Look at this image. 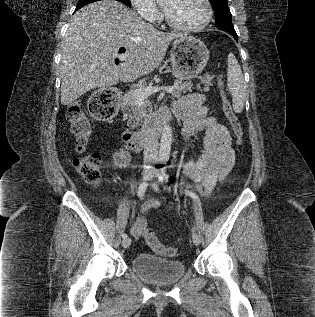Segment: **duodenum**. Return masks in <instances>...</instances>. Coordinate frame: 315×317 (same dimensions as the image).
Returning a JSON list of instances; mask_svg holds the SVG:
<instances>
[{
    "mask_svg": "<svg viewBox=\"0 0 315 317\" xmlns=\"http://www.w3.org/2000/svg\"><path fill=\"white\" fill-rule=\"evenodd\" d=\"M173 113L174 111L167 108L161 109L158 112L152 126L154 134L161 133L165 124L173 117ZM147 135L148 131L146 130L126 131L123 134V141L129 150L138 152L144 147Z\"/></svg>",
    "mask_w": 315,
    "mask_h": 317,
    "instance_id": "410a0bca",
    "label": "duodenum"
}]
</instances>
